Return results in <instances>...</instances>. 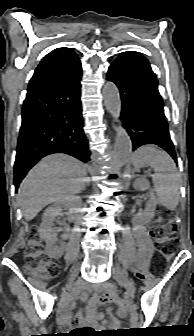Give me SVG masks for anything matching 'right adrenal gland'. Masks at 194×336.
<instances>
[{
    "label": "right adrenal gland",
    "mask_w": 194,
    "mask_h": 336,
    "mask_svg": "<svg viewBox=\"0 0 194 336\" xmlns=\"http://www.w3.org/2000/svg\"><path fill=\"white\" fill-rule=\"evenodd\" d=\"M86 186H90V179L89 178H87Z\"/></svg>",
    "instance_id": "right-adrenal-gland-1"
}]
</instances>
